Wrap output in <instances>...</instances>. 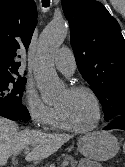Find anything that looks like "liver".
<instances>
[{
	"label": "liver",
	"mask_w": 125,
	"mask_h": 167,
	"mask_svg": "<svg viewBox=\"0 0 125 167\" xmlns=\"http://www.w3.org/2000/svg\"><path fill=\"white\" fill-rule=\"evenodd\" d=\"M70 139L71 136L67 134H48L30 129L19 131L15 122L0 117V167L7 163L9 157L29 146H33V150L25 159L43 160Z\"/></svg>",
	"instance_id": "1"
}]
</instances>
